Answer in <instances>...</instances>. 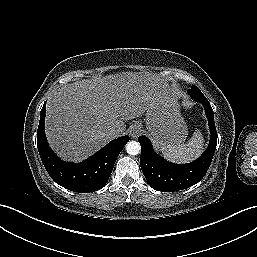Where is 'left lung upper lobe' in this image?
I'll use <instances>...</instances> for the list:
<instances>
[{
    "label": "left lung upper lobe",
    "instance_id": "5c2ea615",
    "mask_svg": "<svg viewBox=\"0 0 257 257\" xmlns=\"http://www.w3.org/2000/svg\"><path fill=\"white\" fill-rule=\"evenodd\" d=\"M190 96L194 99L195 97H202L204 96L200 89L196 86H192V89L189 90Z\"/></svg>",
    "mask_w": 257,
    "mask_h": 257
}]
</instances>
